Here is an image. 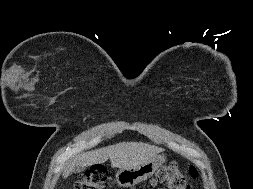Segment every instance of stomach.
Here are the masks:
<instances>
[{"mask_svg": "<svg viewBox=\"0 0 253 189\" xmlns=\"http://www.w3.org/2000/svg\"><path fill=\"white\" fill-rule=\"evenodd\" d=\"M165 161L164 156L157 155L138 167L121 168L116 173V181L121 187H132L150 178Z\"/></svg>", "mask_w": 253, "mask_h": 189, "instance_id": "0dacf381", "label": "stomach"}]
</instances>
